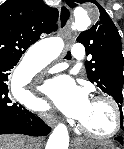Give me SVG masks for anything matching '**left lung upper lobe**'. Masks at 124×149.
<instances>
[{
	"instance_id": "1",
	"label": "left lung upper lobe",
	"mask_w": 124,
	"mask_h": 149,
	"mask_svg": "<svg viewBox=\"0 0 124 149\" xmlns=\"http://www.w3.org/2000/svg\"><path fill=\"white\" fill-rule=\"evenodd\" d=\"M75 2H92L99 8V20L89 30L82 32L77 41L85 46L87 55L92 56L90 61L85 62L88 79L103 92L112 96L122 113L123 54L118 30L97 1L66 0L70 7L77 6ZM121 129L124 131L122 118Z\"/></svg>"
}]
</instances>
